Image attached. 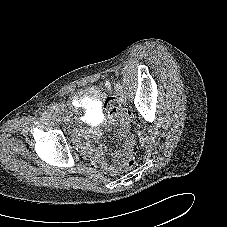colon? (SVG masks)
Instances as JSON below:
<instances>
[{"label": "colon", "instance_id": "5ec220e1", "mask_svg": "<svg viewBox=\"0 0 227 227\" xmlns=\"http://www.w3.org/2000/svg\"><path fill=\"white\" fill-rule=\"evenodd\" d=\"M104 108L109 115L123 116L126 119V112L120 107V103L116 98H108L104 103ZM116 131L118 133V138L126 145L129 150L121 162V167L124 170H130L136 164V159L132 153L135 140L130 132V125L125 120L119 127L116 128Z\"/></svg>", "mask_w": 227, "mask_h": 227}]
</instances>
